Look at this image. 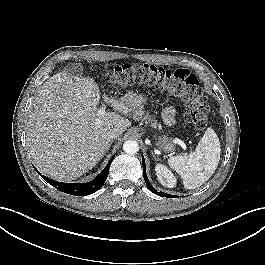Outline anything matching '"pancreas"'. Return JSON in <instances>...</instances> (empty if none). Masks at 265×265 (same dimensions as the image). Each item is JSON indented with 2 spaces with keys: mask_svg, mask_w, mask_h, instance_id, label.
Masks as SVG:
<instances>
[{
  "mask_svg": "<svg viewBox=\"0 0 265 265\" xmlns=\"http://www.w3.org/2000/svg\"><path fill=\"white\" fill-rule=\"evenodd\" d=\"M134 118H135L136 120L144 119V120H148L149 122H152V121H153V120L151 119L150 116H148V115H143V111H142V110H139V111L135 112V114H134ZM151 124H152V126H153L154 128L157 127V123H156V121H154V122L151 123Z\"/></svg>",
  "mask_w": 265,
  "mask_h": 265,
  "instance_id": "1",
  "label": "pancreas"
}]
</instances>
